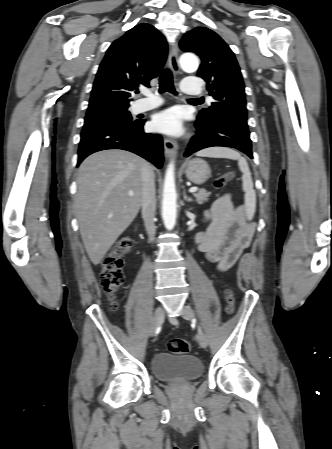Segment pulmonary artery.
<instances>
[{"label":"pulmonary artery","mask_w":332,"mask_h":449,"mask_svg":"<svg viewBox=\"0 0 332 449\" xmlns=\"http://www.w3.org/2000/svg\"><path fill=\"white\" fill-rule=\"evenodd\" d=\"M181 91L186 94L198 95L199 89L196 87L193 79H186L180 85ZM146 98L139 100L135 105L136 112H144L153 109L163 103V100L152 93H146ZM210 100V98H209Z\"/></svg>","instance_id":"e3ab8cb5"}]
</instances>
